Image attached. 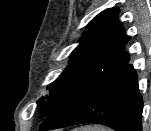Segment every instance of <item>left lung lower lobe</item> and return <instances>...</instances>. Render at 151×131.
Here are the masks:
<instances>
[{"label":"left lung lower lobe","instance_id":"obj_1","mask_svg":"<svg viewBox=\"0 0 151 131\" xmlns=\"http://www.w3.org/2000/svg\"><path fill=\"white\" fill-rule=\"evenodd\" d=\"M143 100L132 65L89 69L65 94L38 131L97 123L116 131H142Z\"/></svg>","mask_w":151,"mask_h":131}]
</instances>
